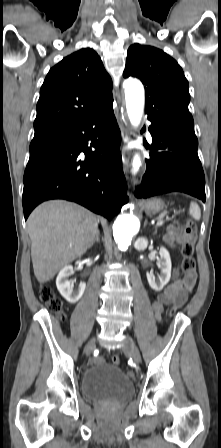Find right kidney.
I'll use <instances>...</instances> for the list:
<instances>
[{"label": "right kidney", "instance_id": "obj_1", "mask_svg": "<svg viewBox=\"0 0 221 448\" xmlns=\"http://www.w3.org/2000/svg\"><path fill=\"white\" fill-rule=\"evenodd\" d=\"M73 273V266L67 265L61 269L56 279V286L58 291L60 292L62 297L71 304L76 303L82 297L86 287L85 283H80L78 289L73 290L70 281L68 280L69 276Z\"/></svg>", "mask_w": 221, "mask_h": 448}]
</instances>
